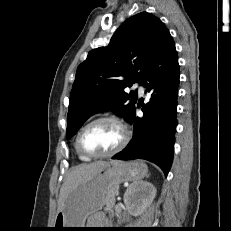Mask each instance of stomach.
<instances>
[{"label":"stomach","mask_w":231,"mask_h":231,"mask_svg":"<svg viewBox=\"0 0 231 231\" xmlns=\"http://www.w3.org/2000/svg\"><path fill=\"white\" fill-rule=\"evenodd\" d=\"M147 173V165L142 161L109 162L91 178L71 191L62 210L55 217L53 230L85 228L86 219L106 206L105 201L110 190L118 192L122 182L141 180Z\"/></svg>","instance_id":"1"}]
</instances>
